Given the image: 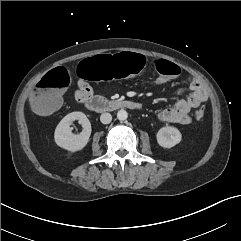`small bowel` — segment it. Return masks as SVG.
Wrapping results in <instances>:
<instances>
[{
	"instance_id": "small-bowel-1",
	"label": "small bowel",
	"mask_w": 241,
	"mask_h": 241,
	"mask_svg": "<svg viewBox=\"0 0 241 241\" xmlns=\"http://www.w3.org/2000/svg\"><path fill=\"white\" fill-rule=\"evenodd\" d=\"M179 74L180 71L177 73L176 77ZM168 81V79L162 81L159 77L156 80L158 84H163ZM189 90L190 94L187 97L178 99L173 106L165 108L159 112L158 117L161 121L179 123L182 125H188L191 123L192 119L189 114L190 111L198 108L204 103L207 100L208 95L205 86L196 78L190 81ZM178 94H182V91H179ZM93 97L94 92L89 83L84 80L79 81L78 87L74 93L75 100L79 103H85Z\"/></svg>"
}]
</instances>
